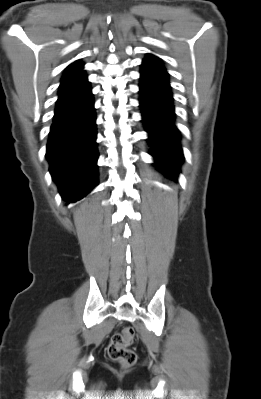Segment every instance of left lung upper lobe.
<instances>
[{
    "label": "left lung upper lobe",
    "mask_w": 261,
    "mask_h": 399,
    "mask_svg": "<svg viewBox=\"0 0 261 399\" xmlns=\"http://www.w3.org/2000/svg\"><path fill=\"white\" fill-rule=\"evenodd\" d=\"M145 62H156L160 63L153 55L148 54V56L144 59Z\"/></svg>",
    "instance_id": "5c2ea615"
}]
</instances>
